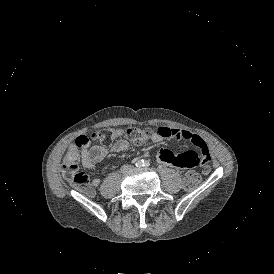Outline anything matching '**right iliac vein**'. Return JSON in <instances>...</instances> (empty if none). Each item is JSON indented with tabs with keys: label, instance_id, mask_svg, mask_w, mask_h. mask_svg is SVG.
<instances>
[{
	"label": "right iliac vein",
	"instance_id": "1",
	"mask_svg": "<svg viewBox=\"0 0 274 274\" xmlns=\"http://www.w3.org/2000/svg\"><path fill=\"white\" fill-rule=\"evenodd\" d=\"M128 171V167H124L123 169H122V172L123 173H126Z\"/></svg>",
	"mask_w": 274,
	"mask_h": 274
}]
</instances>
